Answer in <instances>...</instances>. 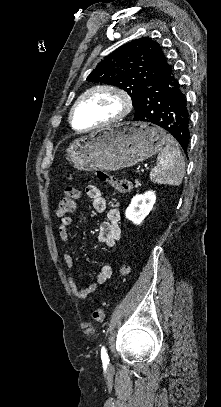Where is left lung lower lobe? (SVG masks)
<instances>
[{"label": "left lung lower lobe", "instance_id": "0a47b994", "mask_svg": "<svg viewBox=\"0 0 221 407\" xmlns=\"http://www.w3.org/2000/svg\"><path fill=\"white\" fill-rule=\"evenodd\" d=\"M133 120L150 122L164 128L187 151L190 138L188 103L171 65L142 89Z\"/></svg>", "mask_w": 221, "mask_h": 407}]
</instances>
